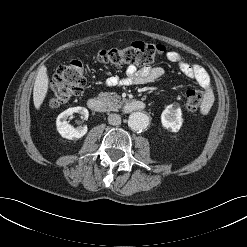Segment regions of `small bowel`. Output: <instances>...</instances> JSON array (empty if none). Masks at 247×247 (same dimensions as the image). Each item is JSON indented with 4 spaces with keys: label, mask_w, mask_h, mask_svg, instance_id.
<instances>
[{
    "label": "small bowel",
    "mask_w": 247,
    "mask_h": 247,
    "mask_svg": "<svg viewBox=\"0 0 247 247\" xmlns=\"http://www.w3.org/2000/svg\"><path fill=\"white\" fill-rule=\"evenodd\" d=\"M167 59L178 66L180 72L193 80L202 90L200 112L207 114L214 103V89L207 71L198 64L186 61L177 51H169ZM164 75L161 67L144 66L137 68L129 66L124 76H111L105 80L107 87H122L132 84H147L160 79Z\"/></svg>",
    "instance_id": "obj_1"
}]
</instances>
